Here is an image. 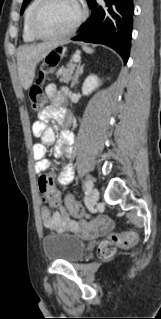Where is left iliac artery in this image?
I'll return each mask as SVG.
<instances>
[{"mask_svg":"<svg viewBox=\"0 0 161 319\" xmlns=\"http://www.w3.org/2000/svg\"><path fill=\"white\" fill-rule=\"evenodd\" d=\"M84 187H85V192H90L93 187L92 181L90 179L86 180Z\"/></svg>","mask_w":161,"mask_h":319,"instance_id":"obj_1","label":"left iliac artery"}]
</instances>
